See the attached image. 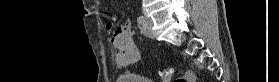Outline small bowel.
I'll list each match as a JSON object with an SVG mask.
<instances>
[{
	"instance_id": "1",
	"label": "small bowel",
	"mask_w": 279,
	"mask_h": 82,
	"mask_svg": "<svg viewBox=\"0 0 279 82\" xmlns=\"http://www.w3.org/2000/svg\"><path fill=\"white\" fill-rule=\"evenodd\" d=\"M105 29L117 50L114 56L116 65L128 66L141 59V52L133 40L131 23L127 22L116 29H113L112 23H106Z\"/></svg>"
}]
</instances>
